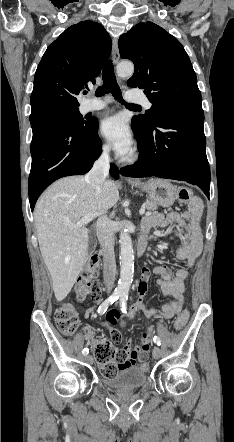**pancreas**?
<instances>
[{
    "label": "pancreas",
    "mask_w": 234,
    "mask_h": 442,
    "mask_svg": "<svg viewBox=\"0 0 234 442\" xmlns=\"http://www.w3.org/2000/svg\"><path fill=\"white\" fill-rule=\"evenodd\" d=\"M143 207L148 211H155L158 209V203L151 200H147L146 202L143 203Z\"/></svg>",
    "instance_id": "obj_1"
}]
</instances>
